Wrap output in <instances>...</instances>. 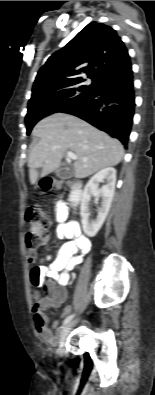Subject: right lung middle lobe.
I'll use <instances>...</instances> for the list:
<instances>
[{
    "label": "right lung middle lobe",
    "instance_id": "dd1d6c3e",
    "mask_svg": "<svg viewBox=\"0 0 155 395\" xmlns=\"http://www.w3.org/2000/svg\"><path fill=\"white\" fill-rule=\"evenodd\" d=\"M99 81L93 80L92 84L85 83V79L66 81L50 85L33 94L28 103V112L25 118L27 135L33 126L42 118L63 111L70 105L80 101L96 90Z\"/></svg>",
    "mask_w": 155,
    "mask_h": 395
}]
</instances>
